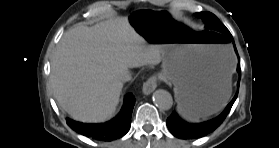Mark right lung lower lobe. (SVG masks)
<instances>
[{"label": "right lung lower lobe", "instance_id": "obj_1", "mask_svg": "<svg viewBox=\"0 0 279 148\" xmlns=\"http://www.w3.org/2000/svg\"><path fill=\"white\" fill-rule=\"evenodd\" d=\"M135 104L132 93L125 97L121 112L111 121L103 124H85L67 118V124L76 132L100 141H112L124 136L131 125V114Z\"/></svg>", "mask_w": 279, "mask_h": 148}]
</instances>
